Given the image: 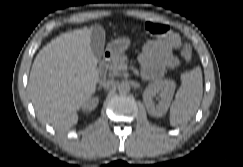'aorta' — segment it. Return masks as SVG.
I'll use <instances>...</instances> for the list:
<instances>
[{"instance_id":"762f6f07","label":"aorta","mask_w":243,"mask_h":167,"mask_svg":"<svg viewBox=\"0 0 243 167\" xmlns=\"http://www.w3.org/2000/svg\"><path fill=\"white\" fill-rule=\"evenodd\" d=\"M118 90L120 93H128L130 91V86L127 83H121L118 86Z\"/></svg>"}]
</instances>
